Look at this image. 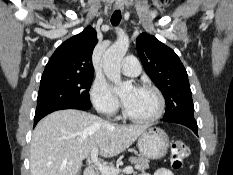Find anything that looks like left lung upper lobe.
Segmentation results:
<instances>
[{
    "label": "left lung upper lobe",
    "mask_w": 233,
    "mask_h": 175,
    "mask_svg": "<svg viewBox=\"0 0 233 175\" xmlns=\"http://www.w3.org/2000/svg\"><path fill=\"white\" fill-rule=\"evenodd\" d=\"M136 48L146 73L165 97L163 120L194 118L188 75L177 54L147 33L138 36Z\"/></svg>",
    "instance_id": "left-lung-upper-lobe-1"
}]
</instances>
